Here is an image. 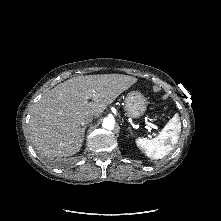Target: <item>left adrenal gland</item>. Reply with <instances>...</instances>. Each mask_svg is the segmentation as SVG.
Listing matches in <instances>:
<instances>
[{"mask_svg":"<svg viewBox=\"0 0 221 221\" xmlns=\"http://www.w3.org/2000/svg\"><path fill=\"white\" fill-rule=\"evenodd\" d=\"M128 129H129L130 133L132 134V130H131V127H128Z\"/></svg>","mask_w":221,"mask_h":221,"instance_id":"1","label":"left adrenal gland"}]
</instances>
